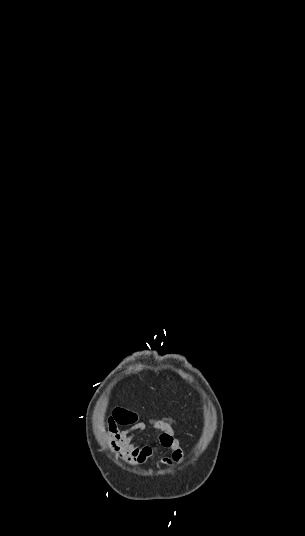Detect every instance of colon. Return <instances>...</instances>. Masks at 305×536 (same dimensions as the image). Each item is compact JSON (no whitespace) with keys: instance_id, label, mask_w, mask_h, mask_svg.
I'll use <instances>...</instances> for the list:
<instances>
[{"instance_id":"colon-1","label":"colon","mask_w":305,"mask_h":536,"mask_svg":"<svg viewBox=\"0 0 305 536\" xmlns=\"http://www.w3.org/2000/svg\"><path fill=\"white\" fill-rule=\"evenodd\" d=\"M116 423L123 426H131L134 422H138L139 413L138 411H114Z\"/></svg>"}]
</instances>
